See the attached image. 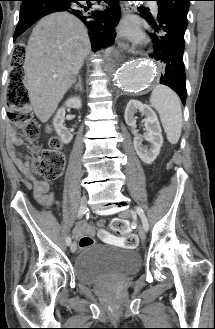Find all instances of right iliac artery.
<instances>
[{
  "instance_id": "right-iliac-artery-1",
  "label": "right iliac artery",
  "mask_w": 215,
  "mask_h": 329,
  "mask_svg": "<svg viewBox=\"0 0 215 329\" xmlns=\"http://www.w3.org/2000/svg\"><path fill=\"white\" fill-rule=\"evenodd\" d=\"M84 213H85V209L80 208L79 209V212H78V217H82ZM66 244L67 245H70L71 244V238L70 237H67L66 238Z\"/></svg>"
}]
</instances>
